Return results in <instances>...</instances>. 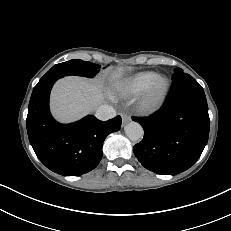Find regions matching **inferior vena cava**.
I'll list each match as a JSON object with an SVG mask.
<instances>
[{
	"mask_svg": "<svg viewBox=\"0 0 231 231\" xmlns=\"http://www.w3.org/2000/svg\"><path fill=\"white\" fill-rule=\"evenodd\" d=\"M95 116L99 120L106 121L114 118L116 116V111L112 106L104 104L98 107Z\"/></svg>",
	"mask_w": 231,
	"mask_h": 231,
	"instance_id": "602c4592",
	"label": "inferior vena cava"
}]
</instances>
